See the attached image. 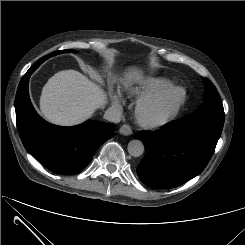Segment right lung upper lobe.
Returning <instances> with one entry per match:
<instances>
[{
    "label": "right lung upper lobe",
    "instance_id": "1",
    "mask_svg": "<svg viewBox=\"0 0 245 245\" xmlns=\"http://www.w3.org/2000/svg\"><path fill=\"white\" fill-rule=\"evenodd\" d=\"M40 61H37L28 71L32 74L33 71L39 66Z\"/></svg>",
    "mask_w": 245,
    "mask_h": 245
}]
</instances>
